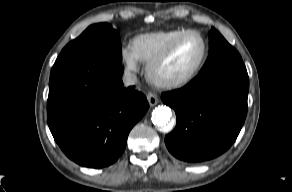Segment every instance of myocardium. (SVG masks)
I'll list each match as a JSON object with an SVG mask.
<instances>
[{
	"instance_id": "f54148a6",
	"label": "myocardium",
	"mask_w": 292,
	"mask_h": 192,
	"mask_svg": "<svg viewBox=\"0 0 292 192\" xmlns=\"http://www.w3.org/2000/svg\"><path fill=\"white\" fill-rule=\"evenodd\" d=\"M189 35L198 36L203 44V52L202 56L198 62V64L194 67V69L186 74L185 76L167 79L163 78L159 75V70L162 65L170 58V56L174 53L175 49L179 45V43ZM209 57V44L205 36L197 31V30H186L179 36H177L152 62H150L147 66V77L155 86L164 88V89H175L183 87L189 83H191L203 70L204 66Z\"/></svg>"
}]
</instances>
